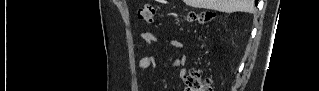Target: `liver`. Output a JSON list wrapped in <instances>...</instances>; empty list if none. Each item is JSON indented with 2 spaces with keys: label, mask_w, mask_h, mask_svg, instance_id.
<instances>
[{
  "label": "liver",
  "mask_w": 319,
  "mask_h": 91,
  "mask_svg": "<svg viewBox=\"0 0 319 91\" xmlns=\"http://www.w3.org/2000/svg\"><path fill=\"white\" fill-rule=\"evenodd\" d=\"M186 5L194 8H205L225 13L255 11L254 0H184Z\"/></svg>",
  "instance_id": "liver-1"
}]
</instances>
